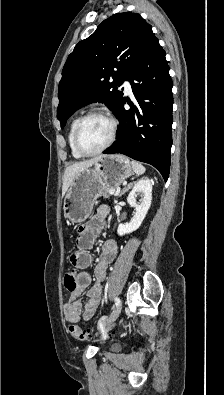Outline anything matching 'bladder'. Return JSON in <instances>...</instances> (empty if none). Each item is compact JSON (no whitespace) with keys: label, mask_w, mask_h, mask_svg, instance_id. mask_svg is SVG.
<instances>
[{"label":"bladder","mask_w":224,"mask_h":395,"mask_svg":"<svg viewBox=\"0 0 224 395\" xmlns=\"http://www.w3.org/2000/svg\"><path fill=\"white\" fill-rule=\"evenodd\" d=\"M113 350H118L119 346L118 345H112L111 346Z\"/></svg>","instance_id":"1"}]
</instances>
